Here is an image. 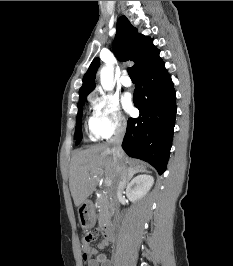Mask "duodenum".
<instances>
[{"label":"duodenum","instance_id":"obj_1","mask_svg":"<svg viewBox=\"0 0 233 266\" xmlns=\"http://www.w3.org/2000/svg\"><path fill=\"white\" fill-rule=\"evenodd\" d=\"M103 235L106 240L113 241L116 238V233L113 226L110 223H107L102 228Z\"/></svg>","mask_w":233,"mask_h":266}]
</instances>
